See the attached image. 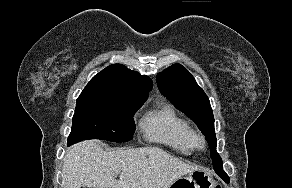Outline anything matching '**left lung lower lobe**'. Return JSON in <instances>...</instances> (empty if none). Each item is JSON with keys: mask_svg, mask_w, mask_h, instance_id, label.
<instances>
[{"mask_svg": "<svg viewBox=\"0 0 292 188\" xmlns=\"http://www.w3.org/2000/svg\"><path fill=\"white\" fill-rule=\"evenodd\" d=\"M214 170L216 171V173L219 175V176H223L224 172L222 170V166L220 168H214Z\"/></svg>", "mask_w": 292, "mask_h": 188, "instance_id": "obj_1", "label": "left lung lower lobe"}]
</instances>
